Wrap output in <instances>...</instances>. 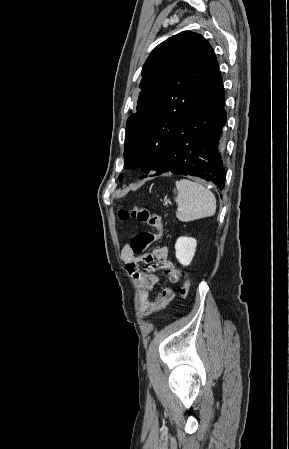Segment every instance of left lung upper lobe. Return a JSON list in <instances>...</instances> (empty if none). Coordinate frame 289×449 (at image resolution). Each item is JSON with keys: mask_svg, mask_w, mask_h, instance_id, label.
<instances>
[{"mask_svg": "<svg viewBox=\"0 0 289 449\" xmlns=\"http://www.w3.org/2000/svg\"><path fill=\"white\" fill-rule=\"evenodd\" d=\"M215 61L210 44L190 31L168 38L151 52L141 72L137 112L126 123L125 168L158 171L175 126L192 110Z\"/></svg>", "mask_w": 289, "mask_h": 449, "instance_id": "1", "label": "left lung upper lobe"}]
</instances>
